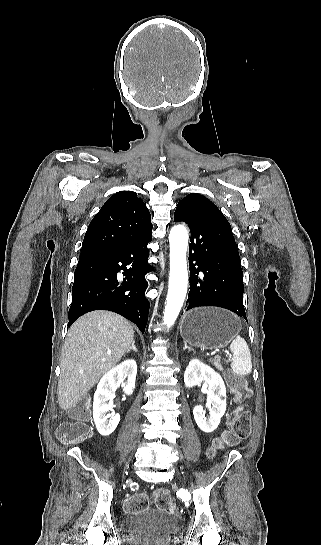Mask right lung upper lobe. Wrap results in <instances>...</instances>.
<instances>
[{"mask_svg": "<svg viewBox=\"0 0 321 545\" xmlns=\"http://www.w3.org/2000/svg\"><path fill=\"white\" fill-rule=\"evenodd\" d=\"M151 230L145 203L133 191L118 192L90 222L79 259L119 250L151 234Z\"/></svg>", "mask_w": 321, "mask_h": 545, "instance_id": "cb5924a9", "label": "right lung upper lobe"}]
</instances>
